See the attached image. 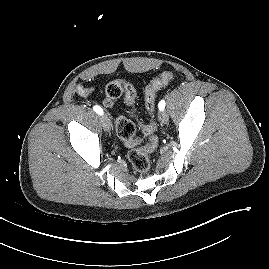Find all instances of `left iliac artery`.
I'll return each instance as SVG.
<instances>
[{
	"label": "left iliac artery",
	"instance_id": "1",
	"mask_svg": "<svg viewBox=\"0 0 269 269\" xmlns=\"http://www.w3.org/2000/svg\"><path fill=\"white\" fill-rule=\"evenodd\" d=\"M158 108L162 111L165 108V100H161L158 104Z\"/></svg>",
	"mask_w": 269,
	"mask_h": 269
}]
</instances>
